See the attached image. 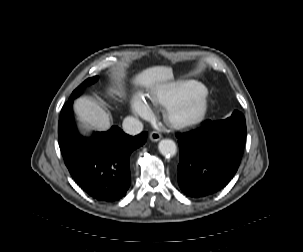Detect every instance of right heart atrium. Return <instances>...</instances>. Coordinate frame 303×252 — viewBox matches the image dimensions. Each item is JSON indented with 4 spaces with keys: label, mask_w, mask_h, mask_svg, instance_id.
Masks as SVG:
<instances>
[{
    "label": "right heart atrium",
    "mask_w": 303,
    "mask_h": 252,
    "mask_svg": "<svg viewBox=\"0 0 303 252\" xmlns=\"http://www.w3.org/2000/svg\"><path fill=\"white\" fill-rule=\"evenodd\" d=\"M131 111L138 117L148 118L152 115V108L142 98L135 96L129 101Z\"/></svg>",
    "instance_id": "right-heart-atrium-1"
}]
</instances>
